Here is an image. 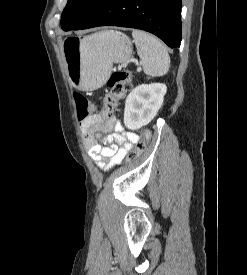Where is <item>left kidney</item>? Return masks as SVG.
<instances>
[{
  "mask_svg": "<svg viewBox=\"0 0 247 275\" xmlns=\"http://www.w3.org/2000/svg\"><path fill=\"white\" fill-rule=\"evenodd\" d=\"M167 87L162 83L142 84L127 96L124 109V124L137 130L149 124L161 108Z\"/></svg>",
  "mask_w": 247,
  "mask_h": 275,
  "instance_id": "1",
  "label": "left kidney"
}]
</instances>
